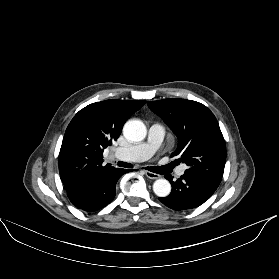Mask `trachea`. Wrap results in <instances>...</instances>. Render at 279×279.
Returning a JSON list of instances; mask_svg holds the SVG:
<instances>
[{
  "instance_id": "3493384b",
  "label": "trachea",
  "mask_w": 279,
  "mask_h": 279,
  "mask_svg": "<svg viewBox=\"0 0 279 279\" xmlns=\"http://www.w3.org/2000/svg\"><path fill=\"white\" fill-rule=\"evenodd\" d=\"M117 164H118V166H120V167L132 168V165L129 164V163H126V162L119 161ZM146 169L149 170V171H151V172H155V173L161 174V173H160V170H159V169H161V168H158V167H147Z\"/></svg>"
}]
</instances>
